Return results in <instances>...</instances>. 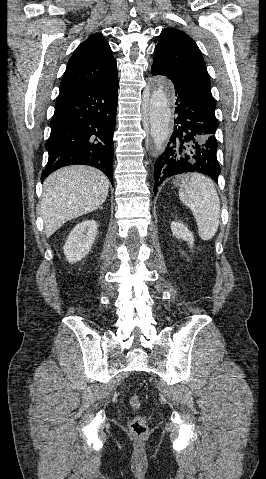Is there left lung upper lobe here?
I'll return each instance as SVG.
<instances>
[{
	"instance_id": "left-lung-upper-lobe-1",
	"label": "left lung upper lobe",
	"mask_w": 266,
	"mask_h": 479,
	"mask_svg": "<svg viewBox=\"0 0 266 479\" xmlns=\"http://www.w3.org/2000/svg\"><path fill=\"white\" fill-rule=\"evenodd\" d=\"M152 67L215 105L202 54L193 39L183 31L175 28L162 30Z\"/></svg>"
}]
</instances>
